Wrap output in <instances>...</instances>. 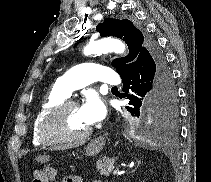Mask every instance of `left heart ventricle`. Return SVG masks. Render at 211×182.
I'll return each mask as SVG.
<instances>
[{"label":"left heart ventricle","instance_id":"b2bd125f","mask_svg":"<svg viewBox=\"0 0 211 182\" xmlns=\"http://www.w3.org/2000/svg\"><path fill=\"white\" fill-rule=\"evenodd\" d=\"M88 125L80 114L78 107H69L58 121V130L63 135L78 136L85 132Z\"/></svg>","mask_w":211,"mask_h":182}]
</instances>
